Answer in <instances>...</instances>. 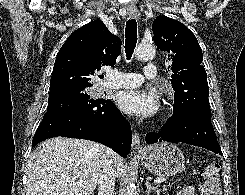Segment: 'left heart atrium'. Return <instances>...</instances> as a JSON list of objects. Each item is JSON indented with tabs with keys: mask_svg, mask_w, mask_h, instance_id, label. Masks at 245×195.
Segmentation results:
<instances>
[{
	"mask_svg": "<svg viewBox=\"0 0 245 195\" xmlns=\"http://www.w3.org/2000/svg\"><path fill=\"white\" fill-rule=\"evenodd\" d=\"M117 101L125 113L139 119L151 118L159 110V102L155 94L138 88L120 92Z\"/></svg>",
	"mask_w": 245,
	"mask_h": 195,
	"instance_id": "left-heart-atrium-1",
	"label": "left heart atrium"
}]
</instances>
